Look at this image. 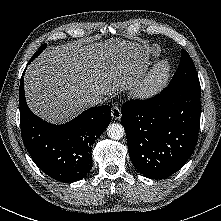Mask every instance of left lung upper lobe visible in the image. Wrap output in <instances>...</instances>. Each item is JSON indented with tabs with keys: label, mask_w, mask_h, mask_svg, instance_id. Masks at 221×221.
<instances>
[{
	"label": "left lung upper lobe",
	"mask_w": 221,
	"mask_h": 221,
	"mask_svg": "<svg viewBox=\"0 0 221 221\" xmlns=\"http://www.w3.org/2000/svg\"><path fill=\"white\" fill-rule=\"evenodd\" d=\"M170 86L197 85L200 86L194 63L186 50H182L181 61L169 83Z\"/></svg>",
	"instance_id": "1"
}]
</instances>
